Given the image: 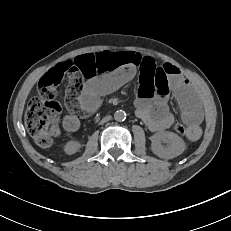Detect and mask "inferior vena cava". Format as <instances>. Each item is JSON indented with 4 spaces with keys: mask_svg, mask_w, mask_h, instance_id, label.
<instances>
[{
    "mask_svg": "<svg viewBox=\"0 0 231 231\" xmlns=\"http://www.w3.org/2000/svg\"><path fill=\"white\" fill-rule=\"evenodd\" d=\"M109 119H110V117H105L102 121L105 122V121H107Z\"/></svg>",
    "mask_w": 231,
    "mask_h": 231,
    "instance_id": "602c4592",
    "label": "inferior vena cava"
}]
</instances>
